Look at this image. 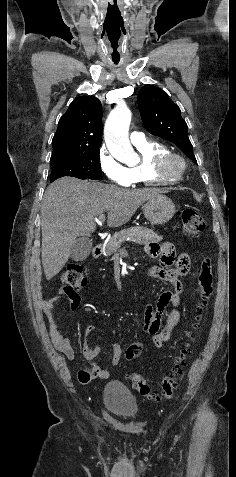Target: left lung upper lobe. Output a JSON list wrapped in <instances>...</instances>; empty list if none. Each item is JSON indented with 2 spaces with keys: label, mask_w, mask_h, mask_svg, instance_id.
Segmentation results:
<instances>
[{
  "label": "left lung upper lobe",
  "mask_w": 236,
  "mask_h": 477,
  "mask_svg": "<svg viewBox=\"0 0 236 477\" xmlns=\"http://www.w3.org/2000/svg\"><path fill=\"white\" fill-rule=\"evenodd\" d=\"M138 105L144 127L149 133L177 145L194 163L193 146L187 135V124L179 107L162 89L146 85L138 93Z\"/></svg>",
  "instance_id": "5c2ea615"
}]
</instances>
